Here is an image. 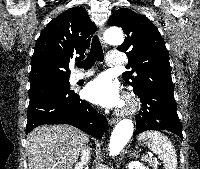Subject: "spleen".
<instances>
[{"label": "spleen", "instance_id": "obj_1", "mask_svg": "<svg viewBox=\"0 0 200 169\" xmlns=\"http://www.w3.org/2000/svg\"><path fill=\"white\" fill-rule=\"evenodd\" d=\"M141 141H147L148 147L164 164V169L177 168V156L175 149L164 134L159 131L149 130L138 136Z\"/></svg>", "mask_w": 200, "mask_h": 169}]
</instances>
